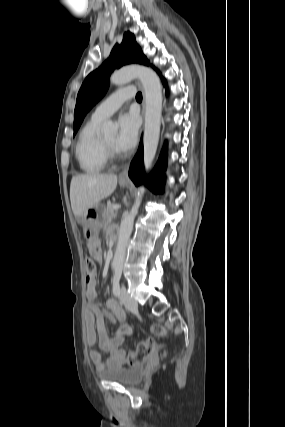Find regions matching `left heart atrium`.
<instances>
[{"label":"left heart atrium","mask_w":285,"mask_h":427,"mask_svg":"<svg viewBox=\"0 0 285 427\" xmlns=\"http://www.w3.org/2000/svg\"><path fill=\"white\" fill-rule=\"evenodd\" d=\"M119 132L116 138V148L121 152L131 150L138 138L139 121L136 115L126 113L119 117Z\"/></svg>","instance_id":"1"}]
</instances>
